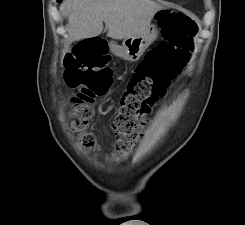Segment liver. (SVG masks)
Listing matches in <instances>:
<instances>
[{
  "mask_svg": "<svg viewBox=\"0 0 245 225\" xmlns=\"http://www.w3.org/2000/svg\"><path fill=\"white\" fill-rule=\"evenodd\" d=\"M69 43L100 35L103 22L107 36L126 39L142 33L162 8L153 0H65Z\"/></svg>",
  "mask_w": 245,
  "mask_h": 225,
  "instance_id": "6515ba94",
  "label": "liver"
}]
</instances>
